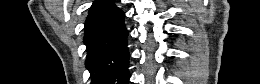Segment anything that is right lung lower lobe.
<instances>
[{"label":"right lung lower lobe","mask_w":260,"mask_h":84,"mask_svg":"<svg viewBox=\"0 0 260 84\" xmlns=\"http://www.w3.org/2000/svg\"><path fill=\"white\" fill-rule=\"evenodd\" d=\"M128 32L124 13L112 0H97L85 22V65L93 84H127L129 80Z\"/></svg>","instance_id":"1"}]
</instances>
